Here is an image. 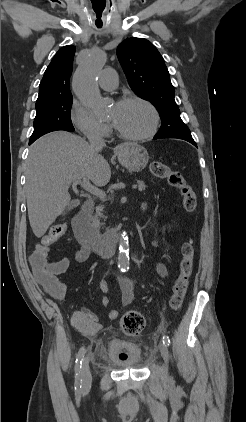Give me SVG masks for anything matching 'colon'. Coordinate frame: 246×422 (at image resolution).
Returning a JSON list of instances; mask_svg holds the SVG:
<instances>
[{
	"instance_id": "obj_1",
	"label": "colon",
	"mask_w": 246,
	"mask_h": 422,
	"mask_svg": "<svg viewBox=\"0 0 246 422\" xmlns=\"http://www.w3.org/2000/svg\"><path fill=\"white\" fill-rule=\"evenodd\" d=\"M151 173L158 178L166 179L169 184L177 188L181 194L182 204L187 212H194L197 208V196L194 190L186 183L183 176L159 161L150 166ZM65 224L53 225L48 233L43 236L41 243L36 246L30 256V265L37 277L43 278L47 275L49 262L47 254L49 246L59 240L65 233ZM195 249L191 240L186 241L182 246V256L178 264V275L172 287L170 307L177 311L185 300L189 279L194 265ZM145 327L143 315L137 311H128L120 319L121 330L129 336L139 335Z\"/></svg>"
}]
</instances>
